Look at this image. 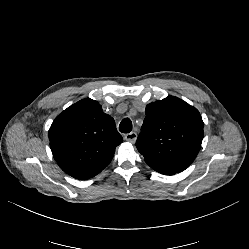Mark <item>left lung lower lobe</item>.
I'll return each mask as SVG.
<instances>
[{
    "mask_svg": "<svg viewBox=\"0 0 249 249\" xmlns=\"http://www.w3.org/2000/svg\"><path fill=\"white\" fill-rule=\"evenodd\" d=\"M159 173H162V174H165V175H173L175 173H172V172H166V171H157Z\"/></svg>",
    "mask_w": 249,
    "mask_h": 249,
    "instance_id": "obj_1",
    "label": "left lung lower lobe"
}]
</instances>
